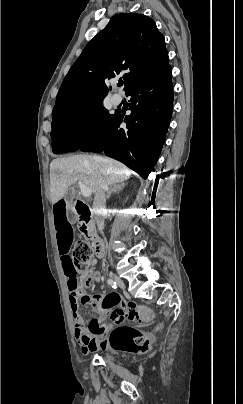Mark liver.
<instances>
[{
  "label": "liver",
  "mask_w": 243,
  "mask_h": 404,
  "mask_svg": "<svg viewBox=\"0 0 243 404\" xmlns=\"http://www.w3.org/2000/svg\"><path fill=\"white\" fill-rule=\"evenodd\" d=\"M132 172L124 164L104 156H70L57 158L50 164L51 202L56 204L65 196L68 186L83 182L96 194L97 178L103 176L105 184L113 186L130 178Z\"/></svg>",
  "instance_id": "6515ba94"
}]
</instances>
